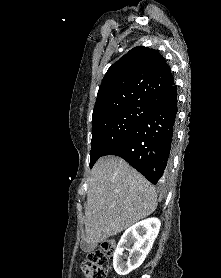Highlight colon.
Here are the masks:
<instances>
[{"label": "colon", "instance_id": "5ec220e1", "mask_svg": "<svg viewBox=\"0 0 221 278\" xmlns=\"http://www.w3.org/2000/svg\"><path fill=\"white\" fill-rule=\"evenodd\" d=\"M116 249L114 240H106L101 246L90 252L82 262V270L87 278H106L109 258L113 256Z\"/></svg>", "mask_w": 221, "mask_h": 278}]
</instances>
